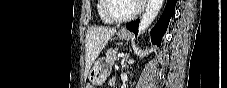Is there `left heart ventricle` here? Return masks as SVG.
<instances>
[{"label":"left heart ventricle","instance_id":"b2bd125f","mask_svg":"<svg viewBox=\"0 0 227 88\" xmlns=\"http://www.w3.org/2000/svg\"><path fill=\"white\" fill-rule=\"evenodd\" d=\"M137 4L135 0H110L108 11L114 18H124L135 11Z\"/></svg>","mask_w":227,"mask_h":88}]
</instances>
